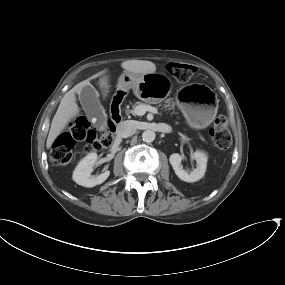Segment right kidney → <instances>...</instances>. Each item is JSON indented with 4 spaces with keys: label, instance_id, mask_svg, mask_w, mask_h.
Wrapping results in <instances>:
<instances>
[{
    "label": "right kidney",
    "instance_id": "1",
    "mask_svg": "<svg viewBox=\"0 0 285 285\" xmlns=\"http://www.w3.org/2000/svg\"><path fill=\"white\" fill-rule=\"evenodd\" d=\"M97 158L96 153H90L78 163L72 177L78 185L84 187H94L103 183L109 177V170H105L103 173L97 176L91 175Z\"/></svg>",
    "mask_w": 285,
    "mask_h": 285
}]
</instances>
